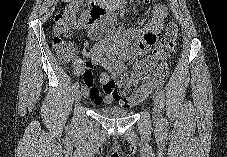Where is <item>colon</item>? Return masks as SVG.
I'll use <instances>...</instances> for the list:
<instances>
[{"mask_svg":"<svg viewBox=\"0 0 227 157\" xmlns=\"http://www.w3.org/2000/svg\"><path fill=\"white\" fill-rule=\"evenodd\" d=\"M72 31L62 16L55 18L53 27V48L61 63L74 61L76 55L75 45L67 41ZM178 37V27L171 22L167 25L164 34L156 41L154 50L142 62L139 73L146 75L159 62L156 71L132 94L123 96L121 105L131 107L144 101L155 89L160 87L168 75V64L166 60L173 53ZM154 41V43H155ZM117 89L124 95L130 91V84L126 76L114 79Z\"/></svg>","mask_w":227,"mask_h":157,"instance_id":"1","label":"colon"}]
</instances>
